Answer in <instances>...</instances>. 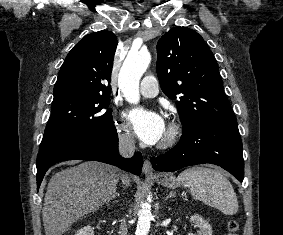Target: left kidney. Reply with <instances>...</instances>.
I'll use <instances>...</instances> for the list:
<instances>
[{"mask_svg": "<svg viewBox=\"0 0 283 235\" xmlns=\"http://www.w3.org/2000/svg\"><path fill=\"white\" fill-rule=\"evenodd\" d=\"M191 221L199 228L198 235H212V228L210 224L204 220L200 215L196 214L190 217ZM195 235V234H189Z\"/></svg>", "mask_w": 283, "mask_h": 235, "instance_id": "1", "label": "left kidney"}]
</instances>
